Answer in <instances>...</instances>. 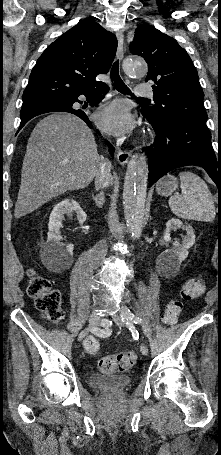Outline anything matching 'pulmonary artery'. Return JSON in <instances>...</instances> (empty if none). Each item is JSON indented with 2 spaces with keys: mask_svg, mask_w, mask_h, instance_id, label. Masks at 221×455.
<instances>
[{
  "mask_svg": "<svg viewBox=\"0 0 221 455\" xmlns=\"http://www.w3.org/2000/svg\"><path fill=\"white\" fill-rule=\"evenodd\" d=\"M135 94L142 97H150L153 95V90L146 84H139L135 88Z\"/></svg>",
  "mask_w": 221,
  "mask_h": 455,
  "instance_id": "1",
  "label": "pulmonary artery"
}]
</instances>
